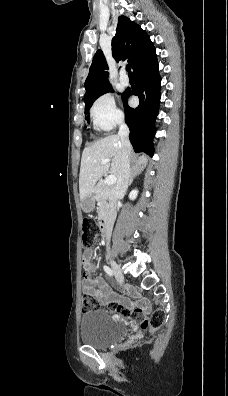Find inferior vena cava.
Here are the masks:
<instances>
[{
    "label": "inferior vena cava",
    "instance_id": "1",
    "mask_svg": "<svg viewBox=\"0 0 228 396\" xmlns=\"http://www.w3.org/2000/svg\"><path fill=\"white\" fill-rule=\"evenodd\" d=\"M129 128L125 124L123 120L119 122V132L118 135L120 137L122 143V157H121V165L119 176L117 179V183L112 190L111 200H110V224L107 228V249L109 250V242L112 231V224L116 217V204L117 200L122 198L129 185L130 180V154H131V144L129 141Z\"/></svg>",
    "mask_w": 228,
    "mask_h": 396
}]
</instances>
